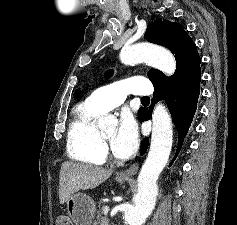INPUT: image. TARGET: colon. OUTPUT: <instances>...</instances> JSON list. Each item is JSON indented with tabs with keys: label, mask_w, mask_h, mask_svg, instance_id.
I'll use <instances>...</instances> for the list:
<instances>
[{
	"label": "colon",
	"mask_w": 237,
	"mask_h": 225,
	"mask_svg": "<svg viewBox=\"0 0 237 225\" xmlns=\"http://www.w3.org/2000/svg\"><path fill=\"white\" fill-rule=\"evenodd\" d=\"M56 225H73L71 219L67 215H60L56 220Z\"/></svg>",
	"instance_id": "5ec220e1"
}]
</instances>
